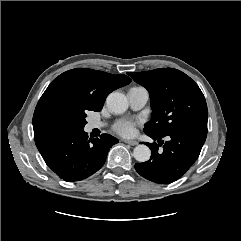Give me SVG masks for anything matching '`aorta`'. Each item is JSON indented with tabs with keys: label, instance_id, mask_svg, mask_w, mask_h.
Masks as SVG:
<instances>
[{
	"label": "aorta",
	"instance_id": "762f6f07",
	"mask_svg": "<svg viewBox=\"0 0 241 241\" xmlns=\"http://www.w3.org/2000/svg\"><path fill=\"white\" fill-rule=\"evenodd\" d=\"M108 109L115 114H122L128 108L126 97L119 92H113L106 99ZM133 156L138 162H146L150 159L151 151L146 145H138L134 148Z\"/></svg>",
	"mask_w": 241,
	"mask_h": 241
}]
</instances>
